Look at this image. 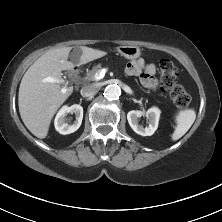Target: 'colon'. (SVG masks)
Listing matches in <instances>:
<instances>
[{
    "mask_svg": "<svg viewBox=\"0 0 222 222\" xmlns=\"http://www.w3.org/2000/svg\"><path fill=\"white\" fill-rule=\"evenodd\" d=\"M159 69L163 89L169 94L177 108L186 109L190 104V96L177 81L178 70L175 64L169 59H162Z\"/></svg>",
    "mask_w": 222,
    "mask_h": 222,
    "instance_id": "5ec220e1",
    "label": "colon"
}]
</instances>
